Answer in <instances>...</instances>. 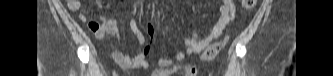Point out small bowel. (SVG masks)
Masks as SVG:
<instances>
[{
	"mask_svg": "<svg viewBox=\"0 0 333 76\" xmlns=\"http://www.w3.org/2000/svg\"><path fill=\"white\" fill-rule=\"evenodd\" d=\"M66 5L69 11L76 12L80 9L79 0H67ZM220 16L216 24L210 29L206 36L200 37L196 27L184 38V50L176 53L172 58L159 59L156 62L148 60L150 46L147 43L146 35L141 31L136 19L129 21L131 32L136 38L140 50L135 57H130L127 53L113 47V59L122 69L142 68L153 69L155 76H170L174 73H181L184 76H195L196 69L188 65H175L183 61L192 53L203 51L214 39L218 38L226 28L230 26L235 18V3L233 0H223L219 9ZM78 19L81 22H87L85 13L80 12ZM88 26L99 39L115 38L119 35V25L116 20L101 16L99 21L92 20ZM147 31L152 38L155 34V28L152 24H147Z\"/></svg>",
	"mask_w": 333,
	"mask_h": 76,
	"instance_id": "small-bowel-1",
	"label": "small bowel"
}]
</instances>
